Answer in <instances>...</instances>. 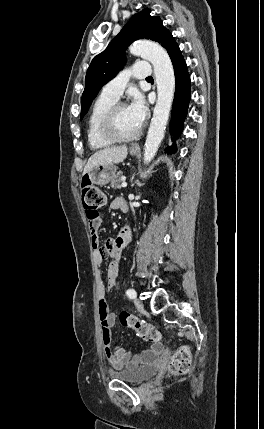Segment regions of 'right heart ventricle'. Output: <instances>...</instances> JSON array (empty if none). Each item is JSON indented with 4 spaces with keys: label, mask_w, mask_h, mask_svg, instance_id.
<instances>
[{
    "label": "right heart ventricle",
    "mask_w": 264,
    "mask_h": 429,
    "mask_svg": "<svg viewBox=\"0 0 264 429\" xmlns=\"http://www.w3.org/2000/svg\"><path fill=\"white\" fill-rule=\"evenodd\" d=\"M117 100L100 95L94 102L87 121V139L89 146L93 150H101L108 148L113 142L105 139L100 131L101 121L108 109Z\"/></svg>",
    "instance_id": "right-heart-ventricle-1"
}]
</instances>
